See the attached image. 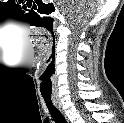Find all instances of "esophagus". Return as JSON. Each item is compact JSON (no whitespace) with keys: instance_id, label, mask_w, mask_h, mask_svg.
<instances>
[{"instance_id":"1","label":"esophagus","mask_w":124,"mask_h":123,"mask_svg":"<svg viewBox=\"0 0 124 123\" xmlns=\"http://www.w3.org/2000/svg\"><path fill=\"white\" fill-rule=\"evenodd\" d=\"M54 104L57 106V108L59 109V111L64 115V117L66 118V115H65V111L64 109L62 108V105L60 104V102L54 100Z\"/></svg>"}]
</instances>
